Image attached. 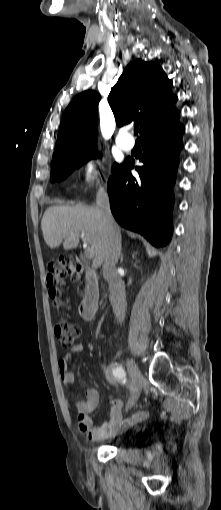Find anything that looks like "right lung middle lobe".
<instances>
[{"label":"right lung middle lobe","instance_id":"right-lung-middle-lobe-1","mask_svg":"<svg viewBox=\"0 0 221 510\" xmlns=\"http://www.w3.org/2000/svg\"><path fill=\"white\" fill-rule=\"evenodd\" d=\"M95 146L82 147L73 149L51 162V180L61 181L65 179L75 168L91 158L98 157ZM119 167L118 164L113 165V173Z\"/></svg>","mask_w":221,"mask_h":510}]
</instances>
